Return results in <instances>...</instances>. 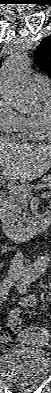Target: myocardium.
<instances>
[{
  "mask_svg": "<svg viewBox=\"0 0 51 393\" xmlns=\"http://www.w3.org/2000/svg\"><path fill=\"white\" fill-rule=\"evenodd\" d=\"M40 123L49 135L51 133V100L43 104L39 112Z\"/></svg>",
  "mask_w": 51,
  "mask_h": 393,
  "instance_id": "myocardium-1",
  "label": "myocardium"
}]
</instances>
